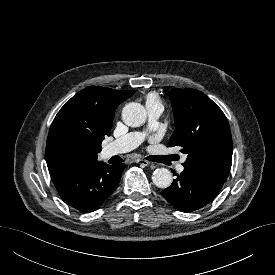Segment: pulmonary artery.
<instances>
[{
  "mask_svg": "<svg viewBox=\"0 0 275 275\" xmlns=\"http://www.w3.org/2000/svg\"><path fill=\"white\" fill-rule=\"evenodd\" d=\"M146 109L148 112L150 123L148 125V131L153 130L157 126V120L163 112V105L160 102H147ZM146 138V132H131L115 141L111 142L105 148V155L111 157L117 154L128 152L143 143ZM182 159L177 165V170L182 172L184 170Z\"/></svg>",
  "mask_w": 275,
  "mask_h": 275,
  "instance_id": "1",
  "label": "pulmonary artery"
}]
</instances>
